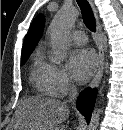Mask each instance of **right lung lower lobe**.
<instances>
[{
	"mask_svg": "<svg viewBox=\"0 0 123 130\" xmlns=\"http://www.w3.org/2000/svg\"><path fill=\"white\" fill-rule=\"evenodd\" d=\"M96 94V89L86 88L79 94L77 99V109L86 117L87 123H89L91 119Z\"/></svg>",
	"mask_w": 123,
	"mask_h": 130,
	"instance_id": "obj_1",
	"label": "right lung lower lobe"
}]
</instances>
